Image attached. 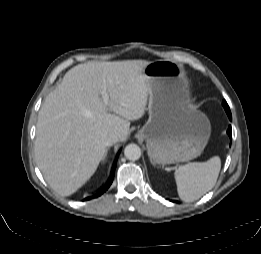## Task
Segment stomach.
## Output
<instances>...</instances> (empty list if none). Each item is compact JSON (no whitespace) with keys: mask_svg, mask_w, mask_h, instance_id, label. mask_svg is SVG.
<instances>
[{"mask_svg":"<svg viewBox=\"0 0 261 254\" xmlns=\"http://www.w3.org/2000/svg\"><path fill=\"white\" fill-rule=\"evenodd\" d=\"M150 93L149 119L137 133L146 141L150 161L157 165L186 162L198 157L210 137L207 116L187 102L182 67L158 60L143 68Z\"/></svg>","mask_w":261,"mask_h":254,"instance_id":"obj_1","label":"stomach"}]
</instances>
